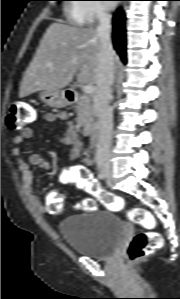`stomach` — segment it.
<instances>
[{"label":"stomach","mask_w":180,"mask_h":299,"mask_svg":"<svg viewBox=\"0 0 180 299\" xmlns=\"http://www.w3.org/2000/svg\"><path fill=\"white\" fill-rule=\"evenodd\" d=\"M38 98L46 105L56 108H63L69 104L63 90H43L38 93Z\"/></svg>","instance_id":"stomach-1"}]
</instances>
